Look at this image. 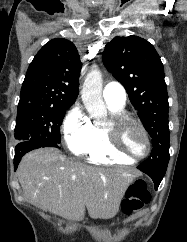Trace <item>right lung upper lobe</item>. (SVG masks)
<instances>
[{
  "label": "right lung upper lobe",
  "instance_id": "cb5924a9",
  "mask_svg": "<svg viewBox=\"0 0 187 242\" xmlns=\"http://www.w3.org/2000/svg\"><path fill=\"white\" fill-rule=\"evenodd\" d=\"M80 70L75 45L63 38L50 40L29 65L18 108L68 109L78 96Z\"/></svg>",
  "mask_w": 187,
  "mask_h": 242
}]
</instances>
